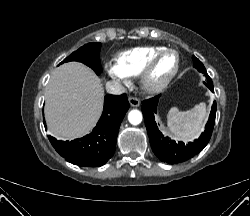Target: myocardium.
Listing matches in <instances>:
<instances>
[{
    "label": "myocardium",
    "instance_id": "f54148a6",
    "mask_svg": "<svg viewBox=\"0 0 250 216\" xmlns=\"http://www.w3.org/2000/svg\"><path fill=\"white\" fill-rule=\"evenodd\" d=\"M172 53L176 56V65L171 74L161 83L154 84L151 81L152 73L156 67V64L160 60L161 57H163L166 54ZM181 64V59L179 53L174 49H164L158 53H156L147 63L145 68L143 69L140 77H141V85L145 92L149 94H158L163 92L173 81V79L176 77V75L179 72Z\"/></svg>",
    "mask_w": 250,
    "mask_h": 216
}]
</instances>
